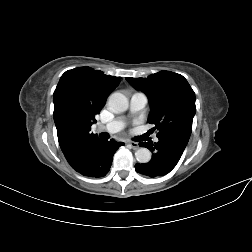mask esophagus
Returning a JSON list of instances; mask_svg holds the SVG:
<instances>
[{
    "label": "esophagus",
    "mask_w": 252,
    "mask_h": 252,
    "mask_svg": "<svg viewBox=\"0 0 252 252\" xmlns=\"http://www.w3.org/2000/svg\"><path fill=\"white\" fill-rule=\"evenodd\" d=\"M128 144L133 148V149H137L139 147L137 142L134 141H129Z\"/></svg>",
    "instance_id": "34e87169"
}]
</instances>
